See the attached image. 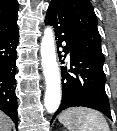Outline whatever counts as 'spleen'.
I'll list each match as a JSON object with an SVG mask.
<instances>
[{"label": "spleen", "mask_w": 117, "mask_h": 131, "mask_svg": "<svg viewBox=\"0 0 117 131\" xmlns=\"http://www.w3.org/2000/svg\"><path fill=\"white\" fill-rule=\"evenodd\" d=\"M58 120L68 131H110L104 116L90 108H69L59 115Z\"/></svg>", "instance_id": "3e777b00"}]
</instances>
